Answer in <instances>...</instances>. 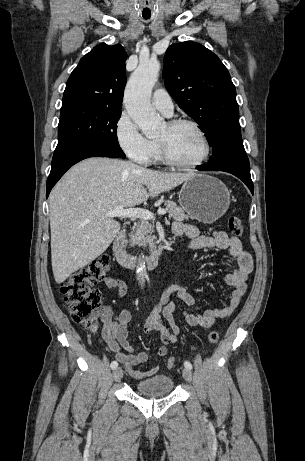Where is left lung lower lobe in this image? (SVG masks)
<instances>
[{
	"label": "left lung lower lobe",
	"mask_w": 305,
	"mask_h": 461,
	"mask_svg": "<svg viewBox=\"0 0 305 461\" xmlns=\"http://www.w3.org/2000/svg\"><path fill=\"white\" fill-rule=\"evenodd\" d=\"M196 169L201 171H224L231 173L241 179L253 194L250 165L244 150L242 137H236L231 140L227 155L219 163L199 165Z\"/></svg>",
	"instance_id": "obj_1"
}]
</instances>
